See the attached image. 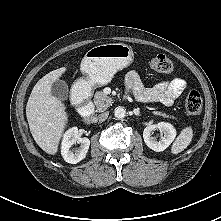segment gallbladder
<instances>
[{"instance_id": "bac80fb5", "label": "gallbladder", "mask_w": 221, "mask_h": 221, "mask_svg": "<svg viewBox=\"0 0 221 221\" xmlns=\"http://www.w3.org/2000/svg\"><path fill=\"white\" fill-rule=\"evenodd\" d=\"M52 95L58 100H67L69 97V88L65 81L56 80L52 84Z\"/></svg>"}]
</instances>
